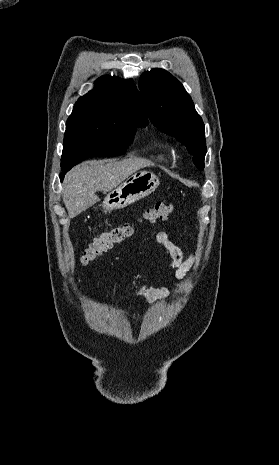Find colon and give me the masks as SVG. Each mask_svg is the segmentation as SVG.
<instances>
[{"label":"colon","instance_id":"5ec220e1","mask_svg":"<svg viewBox=\"0 0 279 465\" xmlns=\"http://www.w3.org/2000/svg\"><path fill=\"white\" fill-rule=\"evenodd\" d=\"M173 205L163 202H157L151 208H148L140 218L139 222L155 223L158 220H166L173 212ZM135 231V226L132 224H124L117 226L109 231H105L96 236L89 246L85 249L81 261L88 264L106 251L117 244L123 243L130 238Z\"/></svg>","mask_w":279,"mask_h":465}]
</instances>
